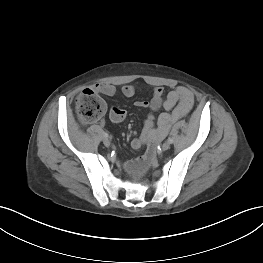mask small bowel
<instances>
[{
	"mask_svg": "<svg viewBox=\"0 0 263 263\" xmlns=\"http://www.w3.org/2000/svg\"><path fill=\"white\" fill-rule=\"evenodd\" d=\"M94 90L106 96H113L116 93V88L111 84H97ZM121 91L125 97H132L136 93V88L128 84L123 86ZM193 104L194 96L185 87L179 86L171 90L166 96H164L163 87H155L150 101H137L135 105L139 108H149L152 112L163 108L165 112L161 113L156 121L152 113L147 116L141 136L132 140V147L138 149L147 142L163 138L171 124L186 116L192 109ZM109 117L113 123H121L126 118V111L119 107H113L110 110ZM126 168L131 172L136 171L138 163L128 162Z\"/></svg>",
	"mask_w": 263,
	"mask_h": 263,
	"instance_id": "obj_1",
	"label": "small bowel"
}]
</instances>
